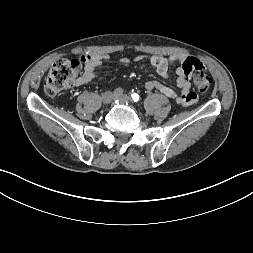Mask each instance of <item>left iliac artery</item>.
<instances>
[{
    "instance_id": "1",
    "label": "left iliac artery",
    "mask_w": 253,
    "mask_h": 253,
    "mask_svg": "<svg viewBox=\"0 0 253 253\" xmlns=\"http://www.w3.org/2000/svg\"><path fill=\"white\" fill-rule=\"evenodd\" d=\"M131 97H132V99H133L135 102H137V101L140 99V96H139L138 94H136V93H133V94L131 95Z\"/></svg>"
}]
</instances>
